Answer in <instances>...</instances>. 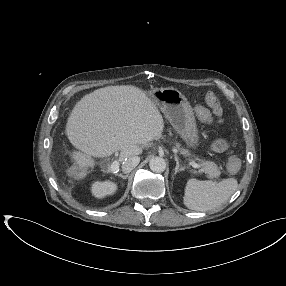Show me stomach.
<instances>
[{"label": "stomach", "instance_id": "obj_1", "mask_svg": "<svg viewBox=\"0 0 286 286\" xmlns=\"http://www.w3.org/2000/svg\"><path fill=\"white\" fill-rule=\"evenodd\" d=\"M149 95L188 147L196 149L199 135L194 112L187 98L173 87L154 89Z\"/></svg>", "mask_w": 286, "mask_h": 286}]
</instances>
